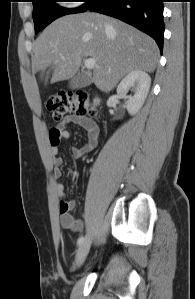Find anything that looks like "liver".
<instances>
[{
    "label": "liver",
    "mask_w": 195,
    "mask_h": 299,
    "mask_svg": "<svg viewBox=\"0 0 195 299\" xmlns=\"http://www.w3.org/2000/svg\"><path fill=\"white\" fill-rule=\"evenodd\" d=\"M33 72L41 78L52 67L51 82L75 76L83 57L95 59L91 81L110 91L134 70L153 72L159 57L156 42L136 28L98 13L61 17L44 29L33 46Z\"/></svg>",
    "instance_id": "1"
}]
</instances>
